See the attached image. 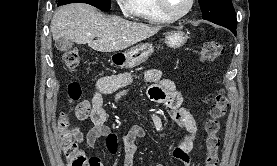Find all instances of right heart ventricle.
<instances>
[{"label": "right heart ventricle", "mask_w": 277, "mask_h": 166, "mask_svg": "<svg viewBox=\"0 0 277 166\" xmlns=\"http://www.w3.org/2000/svg\"><path fill=\"white\" fill-rule=\"evenodd\" d=\"M131 12L151 24H164L171 21L160 12L156 0H133Z\"/></svg>", "instance_id": "1"}]
</instances>
